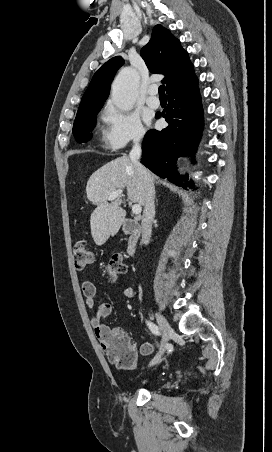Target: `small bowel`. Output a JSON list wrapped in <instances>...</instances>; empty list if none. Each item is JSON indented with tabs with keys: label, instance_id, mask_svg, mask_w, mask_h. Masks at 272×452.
Returning a JSON list of instances; mask_svg holds the SVG:
<instances>
[{
	"label": "small bowel",
	"instance_id": "1",
	"mask_svg": "<svg viewBox=\"0 0 272 452\" xmlns=\"http://www.w3.org/2000/svg\"><path fill=\"white\" fill-rule=\"evenodd\" d=\"M82 291L85 297L86 306L92 311L90 324L95 330V335L99 341L101 349L105 350L106 341L110 336H125L123 329L119 327L108 328L102 324V319L109 316L112 312V304L109 302H102L96 306V287L90 281H84L82 283ZM124 295L133 299L135 292L133 288L129 287L125 289ZM156 347L154 341L145 342L139 348V353L143 356L151 355Z\"/></svg>",
	"mask_w": 272,
	"mask_h": 452
}]
</instances>
